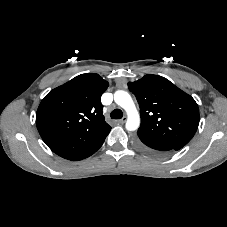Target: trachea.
Masks as SVG:
<instances>
[{
    "label": "trachea",
    "mask_w": 227,
    "mask_h": 227,
    "mask_svg": "<svg viewBox=\"0 0 227 227\" xmlns=\"http://www.w3.org/2000/svg\"><path fill=\"white\" fill-rule=\"evenodd\" d=\"M112 119H121L123 117V112L120 109H115L110 114Z\"/></svg>",
    "instance_id": "3493384b"
}]
</instances>
